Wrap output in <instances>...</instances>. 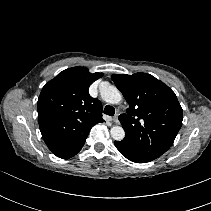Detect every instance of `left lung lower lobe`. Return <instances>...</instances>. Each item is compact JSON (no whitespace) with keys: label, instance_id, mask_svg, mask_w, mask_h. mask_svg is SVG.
<instances>
[{"label":"left lung lower lobe","instance_id":"left-lung-lower-lobe-1","mask_svg":"<svg viewBox=\"0 0 211 211\" xmlns=\"http://www.w3.org/2000/svg\"><path fill=\"white\" fill-rule=\"evenodd\" d=\"M115 146L116 148L130 161L135 162V163H146L149 161H146L145 159L137 156L131 150L123 144L121 141H115Z\"/></svg>","mask_w":211,"mask_h":211}]
</instances>
